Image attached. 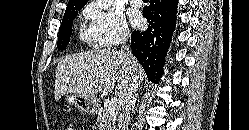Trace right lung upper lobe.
Wrapping results in <instances>:
<instances>
[{"label": "right lung upper lobe", "mask_w": 249, "mask_h": 130, "mask_svg": "<svg viewBox=\"0 0 249 130\" xmlns=\"http://www.w3.org/2000/svg\"><path fill=\"white\" fill-rule=\"evenodd\" d=\"M88 0H69L67 5L85 6Z\"/></svg>", "instance_id": "1"}]
</instances>
